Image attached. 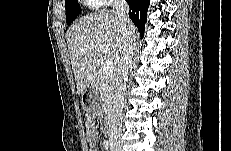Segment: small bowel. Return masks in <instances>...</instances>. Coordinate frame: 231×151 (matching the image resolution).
Segmentation results:
<instances>
[{"label": "small bowel", "mask_w": 231, "mask_h": 151, "mask_svg": "<svg viewBox=\"0 0 231 151\" xmlns=\"http://www.w3.org/2000/svg\"><path fill=\"white\" fill-rule=\"evenodd\" d=\"M85 126L88 146L91 151H97L98 131L95 125V115H91L87 118Z\"/></svg>", "instance_id": "obj_1"}]
</instances>
